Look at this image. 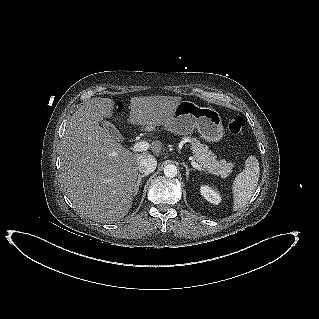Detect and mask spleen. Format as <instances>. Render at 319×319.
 <instances>
[{"mask_svg":"<svg viewBox=\"0 0 319 319\" xmlns=\"http://www.w3.org/2000/svg\"><path fill=\"white\" fill-rule=\"evenodd\" d=\"M259 162L254 156L245 161L244 170L238 174L232 185L234 199L233 210L237 211L244 207L254 194L259 180Z\"/></svg>","mask_w":319,"mask_h":319,"instance_id":"1","label":"spleen"}]
</instances>
